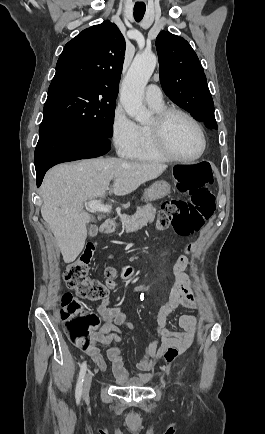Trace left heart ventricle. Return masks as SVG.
I'll return each mask as SVG.
<instances>
[{"instance_id": "obj_1", "label": "left heart ventricle", "mask_w": 265, "mask_h": 434, "mask_svg": "<svg viewBox=\"0 0 265 434\" xmlns=\"http://www.w3.org/2000/svg\"><path fill=\"white\" fill-rule=\"evenodd\" d=\"M168 140L173 150L183 158L194 157L201 149L198 131L188 119L180 115H175L170 121Z\"/></svg>"}]
</instances>
